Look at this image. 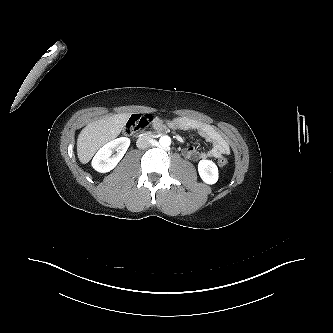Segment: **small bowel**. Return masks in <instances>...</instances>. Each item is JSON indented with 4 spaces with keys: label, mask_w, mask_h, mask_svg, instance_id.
Returning a JSON list of instances; mask_svg holds the SVG:
<instances>
[{
    "label": "small bowel",
    "mask_w": 333,
    "mask_h": 333,
    "mask_svg": "<svg viewBox=\"0 0 333 333\" xmlns=\"http://www.w3.org/2000/svg\"><path fill=\"white\" fill-rule=\"evenodd\" d=\"M152 126L155 130H163L165 128L191 130L203 137L211 148L207 151H200L192 146L183 150V155L190 160L199 161L208 158H218L227 155L230 151L229 144L224 136L213 126L199 120L189 117H175L170 120L154 117Z\"/></svg>",
    "instance_id": "obj_1"
}]
</instances>
